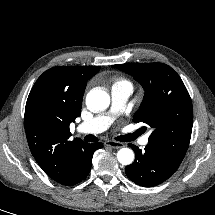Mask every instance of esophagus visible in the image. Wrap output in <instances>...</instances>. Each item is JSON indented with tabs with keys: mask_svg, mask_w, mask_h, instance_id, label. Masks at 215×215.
<instances>
[{
	"mask_svg": "<svg viewBox=\"0 0 215 215\" xmlns=\"http://www.w3.org/2000/svg\"><path fill=\"white\" fill-rule=\"evenodd\" d=\"M104 144L106 146H109V147L114 148V149H119V148L124 147L123 143L117 142V141H112V140H108Z\"/></svg>",
	"mask_w": 215,
	"mask_h": 215,
	"instance_id": "esophagus-1",
	"label": "esophagus"
}]
</instances>
